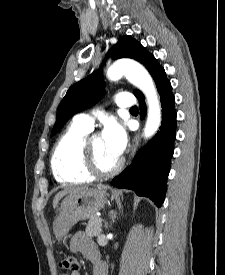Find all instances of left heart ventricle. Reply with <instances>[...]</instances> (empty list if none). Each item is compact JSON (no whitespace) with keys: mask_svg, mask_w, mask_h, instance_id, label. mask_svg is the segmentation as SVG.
Listing matches in <instances>:
<instances>
[{"mask_svg":"<svg viewBox=\"0 0 225 275\" xmlns=\"http://www.w3.org/2000/svg\"><path fill=\"white\" fill-rule=\"evenodd\" d=\"M90 147L95 156L97 166L103 171L112 169L119 161L109 154L102 138L99 136L91 139Z\"/></svg>","mask_w":225,"mask_h":275,"instance_id":"obj_1","label":"left heart ventricle"}]
</instances>
